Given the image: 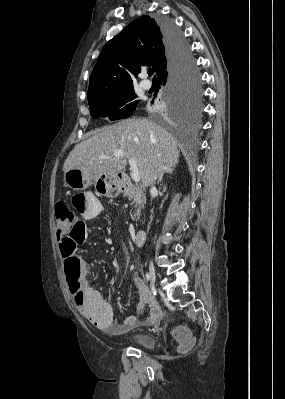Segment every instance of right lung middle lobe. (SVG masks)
<instances>
[{"mask_svg": "<svg viewBox=\"0 0 285 399\" xmlns=\"http://www.w3.org/2000/svg\"><path fill=\"white\" fill-rule=\"evenodd\" d=\"M134 89L111 96H102L89 100L91 117H107L110 121L129 117L139 101H135ZM200 109L199 83L193 63L184 77L172 88L169 87L166 106L159 109L161 114H171L178 120L195 116Z\"/></svg>", "mask_w": 285, "mask_h": 399, "instance_id": "obj_1", "label": "right lung middle lobe"}]
</instances>
